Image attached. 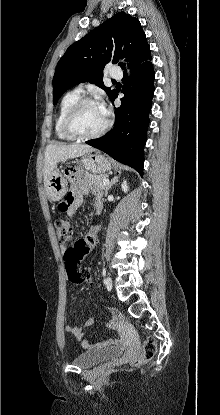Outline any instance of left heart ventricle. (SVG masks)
<instances>
[{"label": "left heart ventricle", "instance_id": "obj_1", "mask_svg": "<svg viewBox=\"0 0 220 415\" xmlns=\"http://www.w3.org/2000/svg\"><path fill=\"white\" fill-rule=\"evenodd\" d=\"M106 117L101 106L89 104L82 108L76 116L73 127L82 135H91L98 132L104 125Z\"/></svg>", "mask_w": 220, "mask_h": 415}]
</instances>
